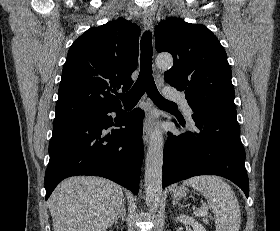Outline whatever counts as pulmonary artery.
Masks as SVG:
<instances>
[{"instance_id": "obj_1", "label": "pulmonary artery", "mask_w": 280, "mask_h": 231, "mask_svg": "<svg viewBox=\"0 0 280 231\" xmlns=\"http://www.w3.org/2000/svg\"><path fill=\"white\" fill-rule=\"evenodd\" d=\"M163 94L166 98L170 100L177 101L180 105H189L185 94L183 92L176 91L172 88L166 87L163 90ZM183 113H192V110H183ZM189 121H192V118H187Z\"/></svg>"}]
</instances>
